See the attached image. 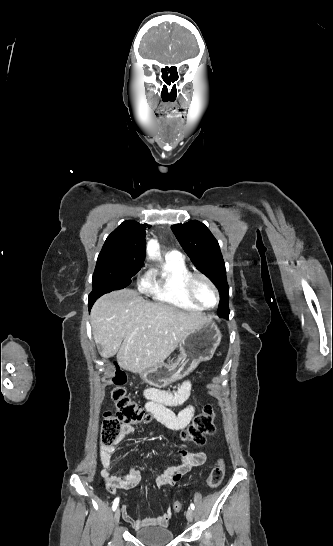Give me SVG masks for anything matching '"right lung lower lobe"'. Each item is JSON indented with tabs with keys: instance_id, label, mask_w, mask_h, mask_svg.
<instances>
[{
	"instance_id": "98d812e1",
	"label": "right lung lower lobe",
	"mask_w": 333,
	"mask_h": 546,
	"mask_svg": "<svg viewBox=\"0 0 333 546\" xmlns=\"http://www.w3.org/2000/svg\"><path fill=\"white\" fill-rule=\"evenodd\" d=\"M93 303H94V301L89 300V303H88L89 309L92 307Z\"/></svg>"
}]
</instances>
